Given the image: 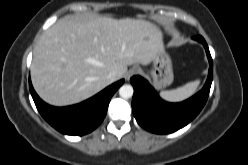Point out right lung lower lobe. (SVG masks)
<instances>
[{"label": "right lung lower lobe", "mask_w": 248, "mask_h": 165, "mask_svg": "<svg viewBox=\"0 0 248 165\" xmlns=\"http://www.w3.org/2000/svg\"><path fill=\"white\" fill-rule=\"evenodd\" d=\"M123 83L124 80H120L92 98L67 107H53L43 102L34 91L30 80L29 88L39 113L52 127L63 134L81 136L101 124L111 97Z\"/></svg>", "instance_id": "obj_1"}]
</instances>
